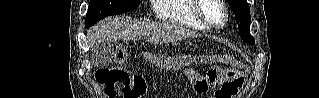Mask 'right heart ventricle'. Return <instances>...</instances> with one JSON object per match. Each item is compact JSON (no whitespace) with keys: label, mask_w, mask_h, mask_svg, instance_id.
Returning a JSON list of instances; mask_svg holds the SVG:
<instances>
[{"label":"right heart ventricle","mask_w":319,"mask_h":98,"mask_svg":"<svg viewBox=\"0 0 319 98\" xmlns=\"http://www.w3.org/2000/svg\"><path fill=\"white\" fill-rule=\"evenodd\" d=\"M195 0H155L154 12L162 21L185 26L198 31H205L204 26L196 17Z\"/></svg>","instance_id":"right-heart-ventricle-1"}]
</instances>
